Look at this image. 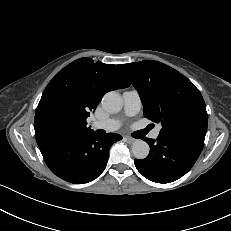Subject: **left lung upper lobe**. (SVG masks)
<instances>
[{
	"instance_id": "1",
	"label": "left lung upper lobe",
	"mask_w": 231,
	"mask_h": 231,
	"mask_svg": "<svg viewBox=\"0 0 231 231\" xmlns=\"http://www.w3.org/2000/svg\"><path fill=\"white\" fill-rule=\"evenodd\" d=\"M119 68L137 89L145 117L162 124L160 133L190 131L206 135L205 102L188 78L153 60L121 64Z\"/></svg>"
}]
</instances>
